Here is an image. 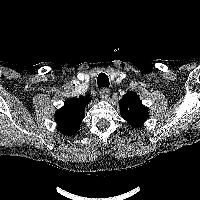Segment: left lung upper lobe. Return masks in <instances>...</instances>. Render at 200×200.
Wrapping results in <instances>:
<instances>
[{"mask_svg":"<svg viewBox=\"0 0 200 200\" xmlns=\"http://www.w3.org/2000/svg\"><path fill=\"white\" fill-rule=\"evenodd\" d=\"M122 118L131 126L139 127L148 118V108L140 101L134 92L126 93L119 102Z\"/></svg>","mask_w":200,"mask_h":200,"instance_id":"left-lung-upper-lobe-1","label":"left lung upper lobe"}]
</instances>
